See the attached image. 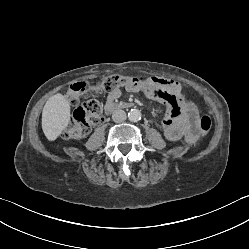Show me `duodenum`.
<instances>
[{
  "label": "duodenum",
  "instance_id": "410a0bca",
  "mask_svg": "<svg viewBox=\"0 0 249 249\" xmlns=\"http://www.w3.org/2000/svg\"><path fill=\"white\" fill-rule=\"evenodd\" d=\"M131 107V103H127V102H122V103H119V104H111L109 106L106 107V113H111V112H114L118 109H124V108H129Z\"/></svg>",
  "mask_w": 249,
  "mask_h": 249
}]
</instances>
